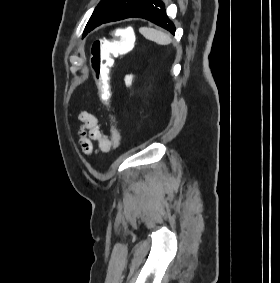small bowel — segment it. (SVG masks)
<instances>
[{
    "label": "small bowel",
    "mask_w": 280,
    "mask_h": 283,
    "mask_svg": "<svg viewBox=\"0 0 280 283\" xmlns=\"http://www.w3.org/2000/svg\"><path fill=\"white\" fill-rule=\"evenodd\" d=\"M81 122L80 128V144L83 153L91 154L94 151L95 142L97 144V151L108 153L118 146L114 143L115 136L119 134L116 126L112 125L111 134H104L98 119L89 112H81L78 116Z\"/></svg>",
    "instance_id": "c3829d8e"
}]
</instances>
